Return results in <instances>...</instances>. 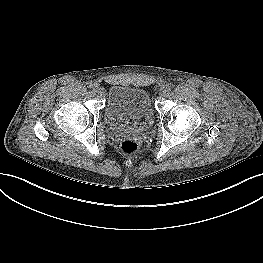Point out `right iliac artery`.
<instances>
[{"mask_svg": "<svg viewBox=\"0 0 263 263\" xmlns=\"http://www.w3.org/2000/svg\"><path fill=\"white\" fill-rule=\"evenodd\" d=\"M89 88H96V83H90Z\"/></svg>", "mask_w": 263, "mask_h": 263, "instance_id": "right-iliac-artery-1", "label": "right iliac artery"}]
</instances>
